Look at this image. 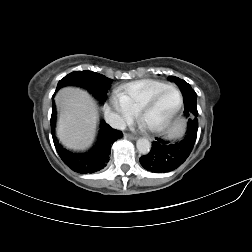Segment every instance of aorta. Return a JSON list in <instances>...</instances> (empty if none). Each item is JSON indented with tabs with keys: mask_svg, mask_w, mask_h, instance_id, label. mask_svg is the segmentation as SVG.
I'll use <instances>...</instances> for the list:
<instances>
[{
	"mask_svg": "<svg viewBox=\"0 0 252 252\" xmlns=\"http://www.w3.org/2000/svg\"><path fill=\"white\" fill-rule=\"evenodd\" d=\"M136 147L141 154H148L151 148V143L146 138H140L136 142Z\"/></svg>",
	"mask_w": 252,
	"mask_h": 252,
	"instance_id": "obj_1",
	"label": "aorta"
}]
</instances>
